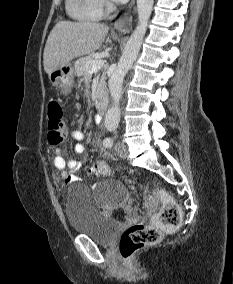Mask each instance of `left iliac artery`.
<instances>
[{"label": "left iliac artery", "instance_id": "left-iliac-artery-1", "mask_svg": "<svg viewBox=\"0 0 233 284\" xmlns=\"http://www.w3.org/2000/svg\"><path fill=\"white\" fill-rule=\"evenodd\" d=\"M103 144H104L105 147L110 148L113 145V139L105 138L104 141H103Z\"/></svg>", "mask_w": 233, "mask_h": 284}]
</instances>
